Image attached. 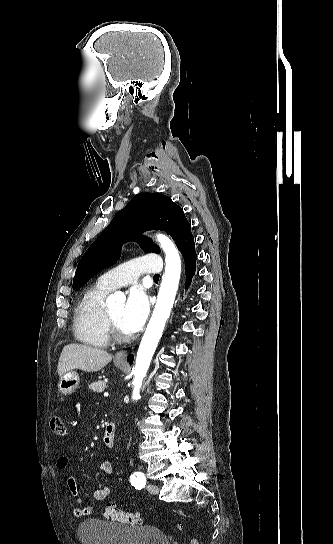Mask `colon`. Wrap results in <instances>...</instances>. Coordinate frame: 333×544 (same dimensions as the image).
I'll use <instances>...</instances> for the list:
<instances>
[{
	"instance_id": "colon-1",
	"label": "colon",
	"mask_w": 333,
	"mask_h": 544,
	"mask_svg": "<svg viewBox=\"0 0 333 544\" xmlns=\"http://www.w3.org/2000/svg\"><path fill=\"white\" fill-rule=\"evenodd\" d=\"M50 427L52 432L56 435L65 436L67 433L65 423L60 417H53L50 421ZM104 516L107 519L128 525H140L143 523V518L140 513L127 510H119L112 505L106 507ZM180 527L182 528V525H180ZM190 544L199 543L196 539H192Z\"/></svg>"
}]
</instances>
